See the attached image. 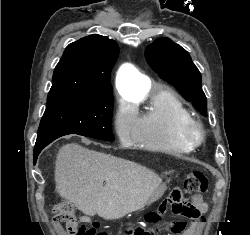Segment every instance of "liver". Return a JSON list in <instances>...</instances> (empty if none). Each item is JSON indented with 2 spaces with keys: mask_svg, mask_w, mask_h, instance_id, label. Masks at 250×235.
<instances>
[{
  "mask_svg": "<svg viewBox=\"0 0 250 235\" xmlns=\"http://www.w3.org/2000/svg\"><path fill=\"white\" fill-rule=\"evenodd\" d=\"M54 174L60 196L84 214L106 220L142 209L162 182L155 172L135 162L74 143L58 151Z\"/></svg>",
  "mask_w": 250,
  "mask_h": 235,
  "instance_id": "1",
  "label": "liver"
}]
</instances>
